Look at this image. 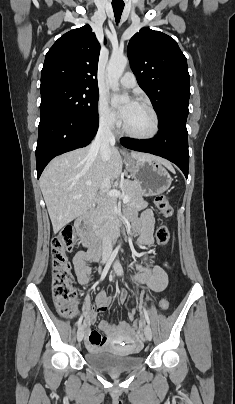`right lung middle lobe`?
<instances>
[{"instance_id":"dd1d6c3e","label":"right lung middle lobe","mask_w":235,"mask_h":404,"mask_svg":"<svg viewBox=\"0 0 235 404\" xmlns=\"http://www.w3.org/2000/svg\"><path fill=\"white\" fill-rule=\"evenodd\" d=\"M40 116L63 113L73 117L90 118L97 113L98 89H86L73 84L53 82L40 86Z\"/></svg>"}]
</instances>
